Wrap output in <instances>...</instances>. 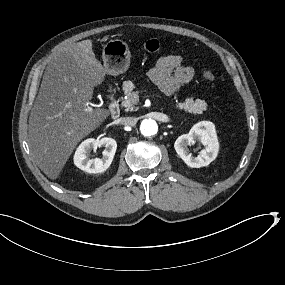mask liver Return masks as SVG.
Segmentation results:
<instances>
[{
	"mask_svg": "<svg viewBox=\"0 0 285 285\" xmlns=\"http://www.w3.org/2000/svg\"><path fill=\"white\" fill-rule=\"evenodd\" d=\"M107 71L90 39L58 50L46 67L29 117V149L36 165L56 179L77 144L110 115L90 107L94 87Z\"/></svg>",
	"mask_w": 285,
	"mask_h": 285,
	"instance_id": "6515ba94",
	"label": "liver"
}]
</instances>
